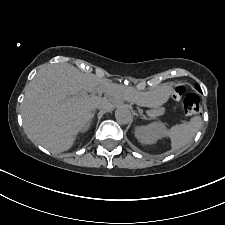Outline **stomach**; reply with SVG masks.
<instances>
[{
  "label": "stomach",
  "mask_w": 225,
  "mask_h": 225,
  "mask_svg": "<svg viewBox=\"0 0 225 225\" xmlns=\"http://www.w3.org/2000/svg\"><path fill=\"white\" fill-rule=\"evenodd\" d=\"M169 94V88L163 87L150 92L143 98V102L147 107L159 108L167 101Z\"/></svg>",
  "instance_id": "0dacf381"
}]
</instances>
